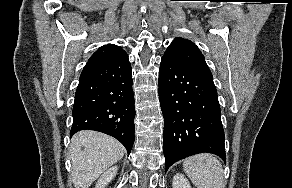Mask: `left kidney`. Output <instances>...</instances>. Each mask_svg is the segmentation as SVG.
Here are the masks:
<instances>
[{
	"label": "left kidney",
	"mask_w": 292,
	"mask_h": 188,
	"mask_svg": "<svg viewBox=\"0 0 292 188\" xmlns=\"http://www.w3.org/2000/svg\"><path fill=\"white\" fill-rule=\"evenodd\" d=\"M173 188H191L188 179L181 173H177L173 178Z\"/></svg>",
	"instance_id": "obj_1"
}]
</instances>
